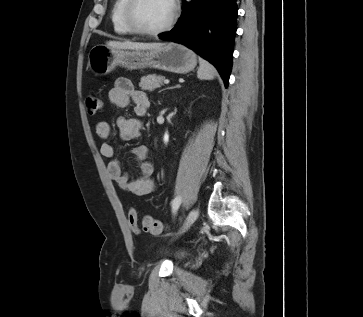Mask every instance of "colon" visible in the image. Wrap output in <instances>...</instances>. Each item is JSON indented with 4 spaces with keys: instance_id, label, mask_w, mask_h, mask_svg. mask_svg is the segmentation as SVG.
Instances as JSON below:
<instances>
[{
    "instance_id": "obj_1",
    "label": "colon",
    "mask_w": 363,
    "mask_h": 317,
    "mask_svg": "<svg viewBox=\"0 0 363 317\" xmlns=\"http://www.w3.org/2000/svg\"><path fill=\"white\" fill-rule=\"evenodd\" d=\"M85 106L90 115H95L100 110L101 101L98 97L90 95L85 100ZM128 222L134 232H139L142 229L144 232L159 235L165 228L162 221L148 215L143 216L140 220L138 212L134 208L128 212Z\"/></svg>"
}]
</instances>
